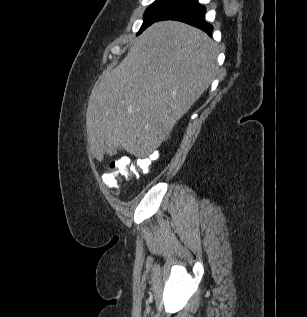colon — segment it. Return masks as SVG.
Here are the masks:
<instances>
[{
  "mask_svg": "<svg viewBox=\"0 0 307 317\" xmlns=\"http://www.w3.org/2000/svg\"><path fill=\"white\" fill-rule=\"evenodd\" d=\"M157 155L151 153L145 158L130 160L128 158H118L111 162L110 169L102 176L104 185L113 192L119 191V180H130L139 174H146L151 163L156 160Z\"/></svg>",
  "mask_w": 307,
  "mask_h": 317,
  "instance_id": "obj_1",
  "label": "colon"
}]
</instances>
